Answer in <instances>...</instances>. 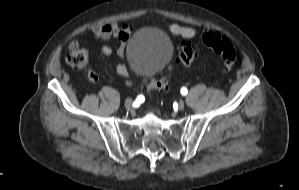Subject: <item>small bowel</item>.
<instances>
[{
  "instance_id": "obj_1",
  "label": "small bowel",
  "mask_w": 299,
  "mask_h": 190,
  "mask_svg": "<svg viewBox=\"0 0 299 190\" xmlns=\"http://www.w3.org/2000/svg\"><path fill=\"white\" fill-rule=\"evenodd\" d=\"M168 29L183 38L191 39L196 37L197 31L193 27L182 26L176 23H171L168 25ZM132 32V27L127 25H118L116 23L104 24L95 29V38L103 42L102 52L109 55L113 52V48L109 46L106 42L114 38L119 42V47L117 53L120 57H124L126 42L128 41ZM77 42L71 44V46H78ZM115 71L118 75L127 77L129 76V69L124 61L117 62L115 64ZM88 77L91 81L95 82L98 80L97 73L93 68L88 71Z\"/></svg>"
}]
</instances>
